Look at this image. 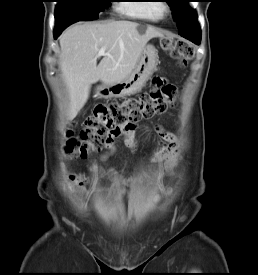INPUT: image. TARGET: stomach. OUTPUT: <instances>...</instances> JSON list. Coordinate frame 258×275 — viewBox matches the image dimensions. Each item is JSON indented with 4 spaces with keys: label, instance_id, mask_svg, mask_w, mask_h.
Masks as SVG:
<instances>
[{
    "label": "stomach",
    "instance_id": "stomach-1",
    "mask_svg": "<svg viewBox=\"0 0 258 275\" xmlns=\"http://www.w3.org/2000/svg\"><path fill=\"white\" fill-rule=\"evenodd\" d=\"M157 50L153 45L144 47L137 65L124 79L112 84H102L96 88L98 98H119L135 94L142 89L150 75L156 69Z\"/></svg>",
    "mask_w": 258,
    "mask_h": 275
}]
</instances>
